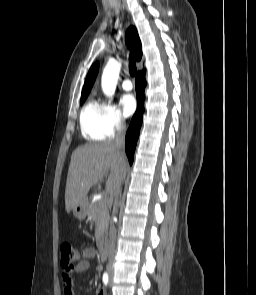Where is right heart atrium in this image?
<instances>
[{
	"label": "right heart atrium",
	"instance_id": "1",
	"mask_svg": "<svg viewBox=\"0 0 256 295\" xmlns=\"http://www.w3.org/2000/svg\"><path fill=\"white\" fill-rule=\"evenodd\" d=\"M104 106V122L109 136H114L125 127V120L117 106L106 103Z\"/></svg>",
	"mask_w": 256,
	"mask_h": 295
}]
</instances>
